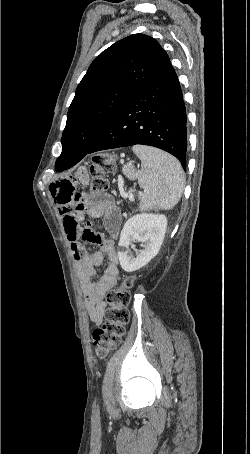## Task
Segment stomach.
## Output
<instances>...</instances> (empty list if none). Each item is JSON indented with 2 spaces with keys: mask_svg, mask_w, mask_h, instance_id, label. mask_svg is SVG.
Instances as JSON below:
<instances>
[{
  "mask_svg": "<svg viewBox=\"0 0 250 454\" xmlns=\"http://www.w3.org/2000/svg\"><path fill=\"white\" fill-rule=\"evenodd\" d=\"M123 173L129 177L130 179H134L137 177V173L132 164H127L123 167Z\"/></svg>",
  "mask_w": 250,
  "mask_h": 454,
  "instance_id": "1",
  "label": "stomach"
}]
</instances>
